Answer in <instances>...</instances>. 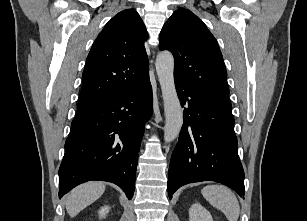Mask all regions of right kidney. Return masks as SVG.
I'll use <instances>...</instances> for the list:
<instances>
[{"instance_id": "ca27d5eb", "label": "right kidney", "mask_w": 307, "mask_h": 221, "mask_svg": "<svg viewBox=\"0 0 307 221\" xmlns=\"http://www.w3.org/2000/svg\"><path fill=\"white\" fill-rule=\"evenodd\" d=\"M109 212V207L108 206H104L99 210V217L100 218H105V216L107 215V213Z\"/></svg>"}]
</instances>
